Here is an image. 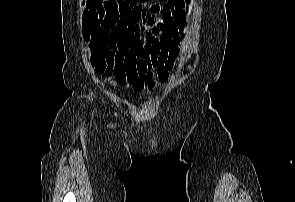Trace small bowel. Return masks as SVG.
Returning <instances> with one entry per match:
<instances>
[{
  "instance_id": "c3829d8e",
  "label": "small bowel",
  "mask_w": 295,
  "mask_h": 202,
  "mask_svg": "<svg viewBox=\"0 0 295 202\" xmlns=\"http://www.w3.org/2000/svg\"><path fill=\"white\" fill-rule=\"evenodd\" d=\"M190 0H140L124 16L106 13L102 0H83V14L90 23L113 20L104 47H93L91 63L133 89H152L165 80L185 37ZM110 64V65H109ZM156 69V71H154Z\"/></svg>"
}]
</instances>
